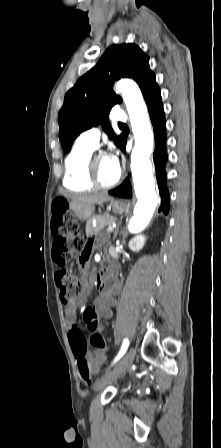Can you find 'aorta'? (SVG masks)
I'll use <instances>...</instances> for the list:
<instances>
[{
	"mask_svg": "<svg viewBox=\"0 0 221 448\" xmlns=\"http://www.w3.org/2000/svg\"><path fill=\"white\" fill-rule=\"evenodd\" d=\"M116 90L122 92L135 139L131 154V172L138 201L128 225L129 231L135 233L148 225L158 203L152 164L149 160L154 137L147 107L138 85L132 80L124 79L117 83Z\"/></svg>",
	"mask_w": 221,
	"mask_h": 448,
	"instance_id": "762f6f07",
	"label": "aorta"
}]
</instances>
